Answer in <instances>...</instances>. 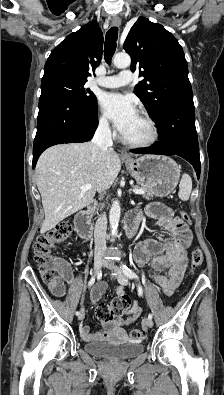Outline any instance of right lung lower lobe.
<instances>
[{
    "mask_svg": "<svg viewBox=\"0 0 224 395\" xmlns=\"http://www.w3.org/2000/svg\"><path fill=\"white\" fill-rule=\"evenodd\" d=\"M33 163L50 146L89 141L98 126L97 104L79 106L70 98L52 91H41Z\"/></svg>",
    "mask_w": 224,
    "mask_h": 395,
    "instance_id": "obj_1",
    "label": "right lung lower lobe"
}]
</instances>
